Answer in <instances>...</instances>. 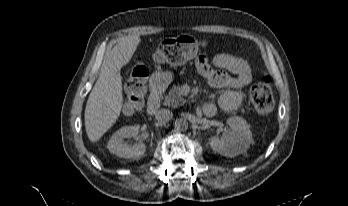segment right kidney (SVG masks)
<instances>
[{
  "mask_svg": "<svg viewBox=\"0 0 348 206\" xmlns=\"http://www.w3.org/2000/svg\"><path fill=\"white\" fill-rule=\"evenodd\" d=\"M138 129L137 126H125L116 131L108 142L107 148L109 151L118 157L127 159H138L143 156L146 151L144 143L138 142L130 146L123 141L125 138L130 139L135 137L138 133Z\"/></svg>",
  "mask_w": 348,
  "mask_h": 206,
  "instance_id": "1",
  "label": "right kidney"
}]
</instances>
